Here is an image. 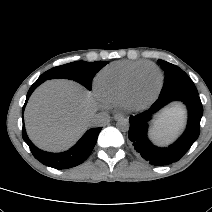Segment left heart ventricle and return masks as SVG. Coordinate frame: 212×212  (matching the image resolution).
I'll use <instances>...</instances> for the list:
<instances>
[{
  "instance_id": "1",
  "label": "left heart ventricle",
  "mask_w": 212,
  "mask_h": 212,
  "mask_svg": "<svg viewBox=\"0 0 212 212\" xmlns=\"http://www.w3.org/2000/svg\"><path fill=\"white\" fill-rule=\"evenodd\" d=\"M159 83L158 73L153 69L144 70L138 79L137 87L133 96L136 103H141L148 99Z\"/></svg>"
}]
</instances>
